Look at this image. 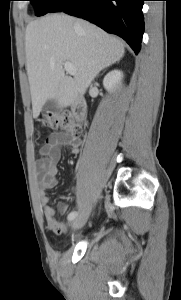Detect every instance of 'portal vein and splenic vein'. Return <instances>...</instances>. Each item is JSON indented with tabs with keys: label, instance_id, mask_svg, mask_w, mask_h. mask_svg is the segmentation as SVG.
Returning <instances> with one entry per match:
<instances>
[{
	"label": "portal vein and splenic vein",
	"instance_id": "obj_1",
	"mask_svg": "<svg viewBox=\"0 0 181 300\" xmlns=\"http://www.w3.org/2000/svg\"><path fill=\"white\" fill-rule=\"evenodd\" d=\"M64 69L70 75L74 76L76 74V69H75L74 65L70 62L64 63Z\"/></svg>",
	"mask_w": 181,
	"mask_h": 300
}]
</instances>
